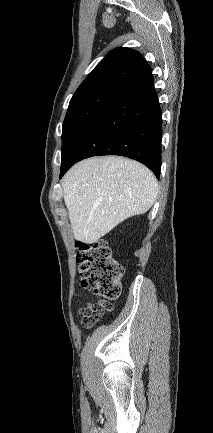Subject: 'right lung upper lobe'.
<instances>
[{
  "mask_svg": "<svg viewBox=\"0 0 213 433\" xmlns=\"http://www.w3.org/2000/svg\"><path fill=\"white\" fill-rule=\"evenodd\" d=\"M150 72V66L138 51L115 48L82 82L71 101L105 92L120 94Z\"/></svg>",
  "mask_w": 213,
  "mask_h": 433,
  "instance_id": "1",
  "label": "right lung upper lobe"
}]
</instances>
